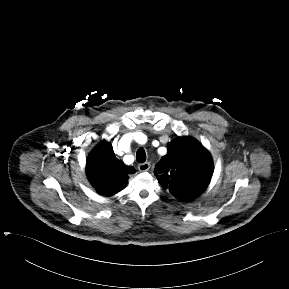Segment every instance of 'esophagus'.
Returning a JSON list of instances; mask_svg holds the SVG:
<instances>
[{"mask_svg":"<svg viewBox=\"0 0 289 289\" xmlns=\"http://www.w3.org/2000/svg\"><path fill=\"white\" fill-rule=\"evenodd\" d=\"M150 167H151V165H150V163H148V162L140 163V164L138 165V169H139L140 171H142V172L148 171V170L150 169Z\"/></svg>","mask_w":289,"mask_h":289,"instance_id":"obj_1","label":"esophagus"}]
</instances>
